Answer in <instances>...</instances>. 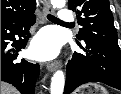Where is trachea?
Wrapping results in <instances>:
<instances>
[{
  "label": "trachea",
  "instance_id": "trachea-1",
  "mask_svg": "<svg viewBox=\"0 0 121 94\" xmlns=\"http://www.w3.org/2000/svg\"><path fill=\"white\" fill-rule=\"evenodd\" d=\"M47 18L50 20V21H55V22H63L62 20H60L59 18L51 15V14H48L47 15Z\"/></svg>",
  "mask_w": 121,
  "mask_h": 94
}]
</instances>
